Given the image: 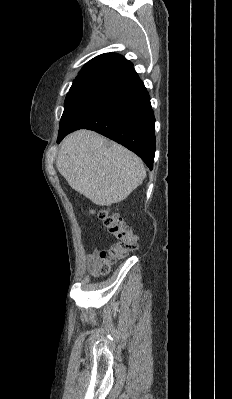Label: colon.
I'll return each mask as SVG.
<instances>
[{
  "label": "colon",
  "mask_w": 232,
  "mask_h": 399,
  "mask_svg": "<svg viewBox=\"0 0 232 399\" xmlns=\"http://www.w3.org/2000/svg\"><path fill=\"white\" fill-rule=\"evenodd\" d=\"M92 208L89 200H84V209ZM109 209H114V204H109ZM89 216H94V211H89ZM98 222L106 225V231L112 234V249L96 250V265L99 274L103 275L106 269L113 266V257H129V252H137V234L131 232V223L121 221V216L107 218V209L103 208V204H98Z\"/></svg>",
  "instance_id": "obj_1"
}]
</instances>
